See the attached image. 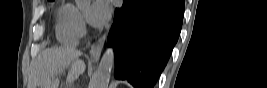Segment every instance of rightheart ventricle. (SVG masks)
Segmentation results:
<instances>
[{
    "instance_id": "1",
    "label": "right heart ventricle",
    "mask_w": 267,
    "mask_h": 88,
    "mask_svg": "<svg viewBox=\"0 0 267 88\" xmlns=\"http://www.w3.org/2000/svg\"><path fill=\"white\" fill-rule=\"evenodd\" d=\"M78 14V9L70 4L62 6L58 11L57 35L66 45H72L77 41L74 22Z\"/></svg>"
}]
</instances>
